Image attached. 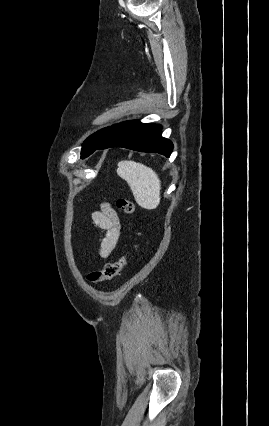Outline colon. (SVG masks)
I'll return each mask as SVG.
<instances>
[{
    "mask_svg": "<svg viewBox=\"0 0 269 426\" xmlns=\"http://www.w3.org/2000/svg\"><path fill=\"white\" fill-rule=\"evenodd\" d=\"M117 207L126 215H132L135 212L134 203L126 198H119L116 201ZM130 254L121 256L114 262L106 263L102 270L92 271L88 274L87 279L92 284H100L105 281H111L117 277L127 265Z\"/></svg>",
    "mask_w": 269,
    "mask_h": 426,
    "instance_id": "1",
    "label": "colon"
}]
</instances>
